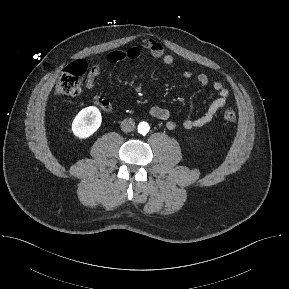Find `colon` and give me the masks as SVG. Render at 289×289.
Returning a JSON list of instances; mask_svg holds the SVG:
<instances>
[{
  "label": "colon",
  "instance_id": "obj_1",
  "mask_svg": "<svg viewBox=\"0 0 289 289\" xmlns=\"http://www.w3.org/2000/svg\"><path fill=\"white\" fill-rule=\"evenodd\" d=\"M88 65L84 61H76L69 65L60 75L55 86V93L60 96H75L82 92ZM225 123L236 121V113L232 108L223 112Z\"/></svg>",
  "mask_w": 289,
  "mask_h": 289
}]
</instances>
